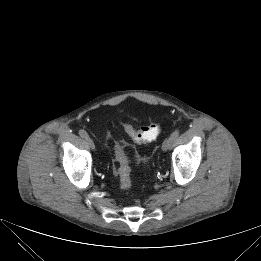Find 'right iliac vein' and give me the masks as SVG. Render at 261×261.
<instances>
[{"label": "right iliac vein", "mask_w": 261, "mask_h": 261, "mask_svg": "<svg viewBox=\"0 0 261 261\" xmlns=\"http://www.w3.org/2000/svg\"><path fill=\"white\" fill-rule=\"evenodd\" d=\"M85 142H86V145L89 149H91V150L95 149L94 142L89 136L87 138H85Z\"/></svg>", "instance_id": "obj_1"}]
</instances>
